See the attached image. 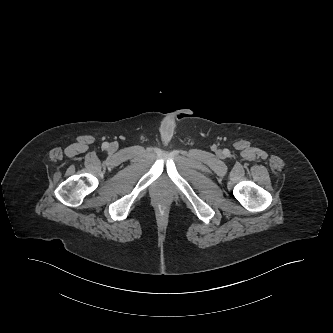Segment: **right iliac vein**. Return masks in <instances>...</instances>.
Returning a JSON list of instances; mask_svg holds the SVG:
<instances>
[{"label":"right iliac vein","mask_w":333,"mask_h":333,"mask_svg":"<svg viewBox=\"0 0 333 333\" xmlns=\"http://www.w3.org/2000/svg\"><path fill=\"white\" fill-rule=\"evenodd\" d=\"M116 148H117L116 144H111V145H110V149H111V150H115Z\"/></svg>","instance_id":"63e3f726"}]
</instances>
